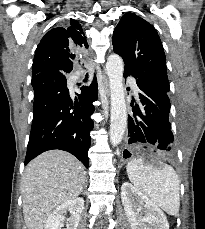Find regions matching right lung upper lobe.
I'll return each instance as SVG.
<instances>
[{
    "label": "right lung upper lobe",
    "instance_id": "right-lung-upper-lobe-1",
    "mask_svg": "<svg viewBox=\"0 0 205 229\" xmlns=\"http://www.w3.org/2000/svg\"><path fill=\"white\" fill-rule=\"evenodd\" d=\"M88 44L81 25L74 19L69 27H57L47 32L37 46L32 76L49 69H57L69 73L78 53Z\"/></svg>",
    "mask_w": 205,
    "mask_h": 229
}]
</instances>
